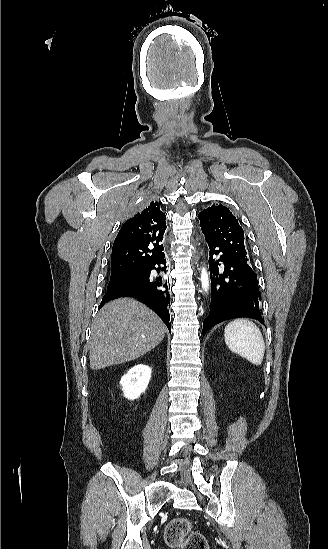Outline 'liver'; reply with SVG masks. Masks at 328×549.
<instances>
[{"mask_svg": "<svg viewBox=\"0 0 328 549\" xmlns=\"http://www.w3.org/2000/svg\"><path fill=\"white\" fill-rule=\"evenodd\" d=\"M91 369L134 361L155 349L165 337L160 317L134 299H115L100 309L91 325Z\"/></svg>", "mask_w": 328, "mask_h": 549, "instance_id": "6515ba94", "label": "liver"}]
</instances>
